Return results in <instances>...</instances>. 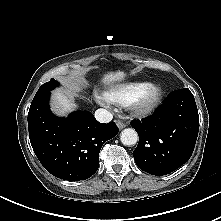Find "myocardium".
<instances>
[{
	"label": "myocardium",
	"mask_w": 221,
	"mask_h": 221,
	"mask_svg": "<svg viewBox=\"0 0 221 221\" xmlns=\"http://www.w3.org/2000/svg\"><path fill=\"white\" fill-rule=\"evenodd\" d=\"M162 97V88L159 85L149 84L130 104L132 113L136 116L149 114L159 103Z\"/></svg>",
	"instance_id": "f54148a6"
}]
</instances>
